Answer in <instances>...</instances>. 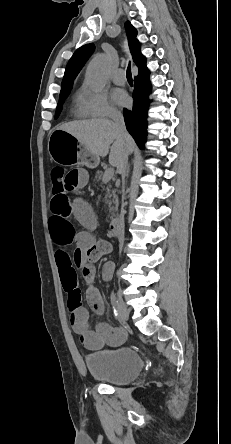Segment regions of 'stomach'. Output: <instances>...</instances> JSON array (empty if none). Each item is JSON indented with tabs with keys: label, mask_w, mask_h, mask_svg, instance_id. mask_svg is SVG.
<instances>
[{
	"label": "stomach",
	"mask_w": 231,
	"mask_h": 444,
	"mask_svg": "<svg viewBox=\"0 0 231 444\" xmlns=\"http://www.w3.org/2000/svg\"><path fill=\"white\" fill-rule=\"evenodd\" d=\"M48 151L51 158L64 165L81 164L95 168L99 164V157L70 133L56 129L49 137Z\"/></svg>",
	"instance_id": "obj_1"
}]
</instances>
